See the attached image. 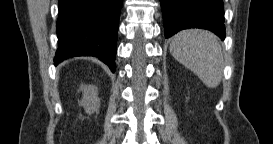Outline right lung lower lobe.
<instances>
[{
    "label": "right lung lower lobe",
    "mask_w": 273,
    "mask_h": 144,
    "mask_svg": "<svg viewBox=\"0 0 273 144\" xmlns=\"http://www.w3.org/2000/svg\"><path fill=\"white\" fill-rule=\"evenodd\" d=\"M122 0H59L58 64L74 56H95L115 71Z\"/></svg>",
    "instance_id": "obj_1"
}]
</instances>
